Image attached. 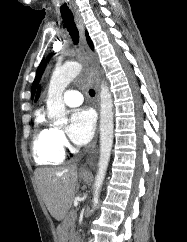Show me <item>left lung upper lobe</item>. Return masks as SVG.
I'll list each match as a JSON object with an SVG mask.
<instances>
[{"instance_id": "1", "label": "left lung upper lobe", "mask_w": 187, "mask_h": 242, "mask_svg": "<svg viewBox=\"0 0 187 242\" xmlns=\"http://www.w3.org/2000/svg\"><path fill=\"white\" fill-rule=\"evenodd\" d=\"M46 66V60L43 59L41 64L39 65L38 69H37V72H36V77H35V80L33 82V85H32V88H31V97L33 98L34 94H35V90H36V87L39 83V80L41 78V75L44 71V68Z\"/></svg>"}]
</instances>
